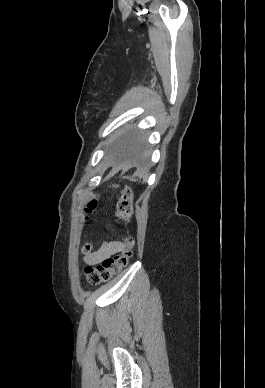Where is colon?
I'll use <instances>...</instances> for the list:
<instances>
[{
    "mask_svg": "<svg viewBox=\"0 0 265 388\" xmlns=\"http://www.w3.org/2000/svg\"><path fill=\"white\" fill-rule=\"evenodd\" d=\"M96 208L97 201L91 200L87 203L85 212L87 215H91ZM133 212V191L129 187H124L118 198L116 218L118 221L126 223L132 217ZM124 245L125 248L119 253L105 258L96 266H87L85 268L84 273L90 284L98 285L108 282L127 266L132 255L133 239L125 237ZM91 250V242H86L82 247V251L86 254H89Z\"/></svg>",
    "mask_w": 265,
    "mask_h": 388,
    "instance_id": "colon-1",
    "label": "colon"
}]
</instances>
